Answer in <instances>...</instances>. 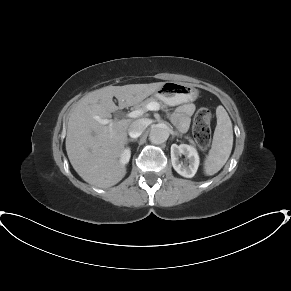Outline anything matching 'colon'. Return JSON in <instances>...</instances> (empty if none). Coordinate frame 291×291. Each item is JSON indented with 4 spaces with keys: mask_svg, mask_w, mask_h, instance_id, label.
<instances>
[{
    "mask_svg": "<svg viewBox=\"0 0 291 291\" xmlns=\"http://www.w3.org/2000/svg\"><path fill=\"white\" fill-rule=\"evenodd\" d=\"M212 112L208 108H201L193 120L192 133L196 143L203 149L209 146L211 140L210 122Z\"/></svg>",
    "mask_w": 291,
    "mask_h": 291,
    "instance_id": "5ec220e1",
    "label": "colon"
}]
</instances>
